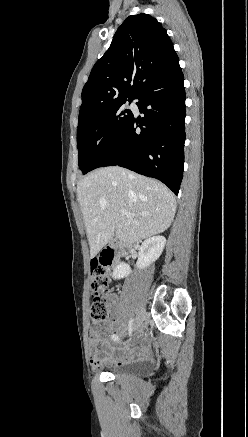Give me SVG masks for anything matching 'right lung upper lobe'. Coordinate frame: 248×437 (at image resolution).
Wrapping results in <instances>:
<instances>
[{
    "label": "right lung upper lobe",
    "mask_w": 248,
    "mask_h": 437,
    "mask_svg": "<svg viewBox=\"0 0 248 437\" xmlns=\"http://www.w3.org/2000/svg\"><path fill=\"white\" fill-rule=\"evenodd\" d=\"M175 55L166 30L155 18L144 13L129 16L83 87L78 125L119 101L134 98Z\"/></svg>",
    "instance_id": "1"
}]
</instances>
